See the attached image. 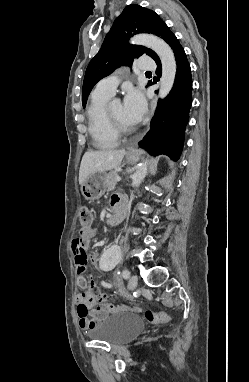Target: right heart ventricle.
Segmentation results:
<instances>
[{
	"instance_id": "1",
	"label": "right heart ventricle",
	"mask_w": 249,
	"mask_h": 382,
	"mask_svg": "<svg viewBox=\"0 0 249 382\" xmlns=\"http://www.w3.org/2000/svg\"><path fill=\"white\" fill-rule=\"evenodd\" d=\"M110 97L95 90L87 108L88 130L93 145L98 149L114 148L119 141V137L111 130L106 119L105 109Z\"/></svg>"
}]
</instances>
